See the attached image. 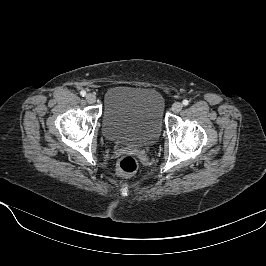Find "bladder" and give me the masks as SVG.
<instances>
[{
    "instance_id": "bladder-1",
    "label": "bladder",
    "mask_w": 266,
    "mask_h": 266,
    "mask_svg": "<svg viewBox=\"0 0 266 266\" xmlns=\"http://www.w3.org/2000/svg\"><path fill=\"white\" fill-rule=\"evenodd\" d=\"M165 102L154 88L115 86L104 96L102 133L117 144L148 146L162 131Z\"/></svg>"
}]
</instances>
